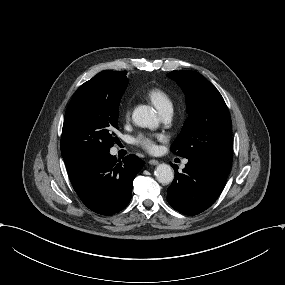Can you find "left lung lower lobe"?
Instances as JSON below:
<instances>
[{
    "mask_svg": "<svg viewBox=\"0 0 285 285\" xmlns=\"http://www.w3.org/2000/svg\"><path fill=\"white\" fill-rule=\"evenodd\" d=\"M230 164L216 158L188 159L183 173L175 168V178L167 189L169 204L186 215L205 211L223 190Z\"/></svg>",
    "mask_w": 285,
    "mask_h": 285,
    "instance_id": "0a47b994",
    "label": "left lung lower lobe"
}]
</instances>
